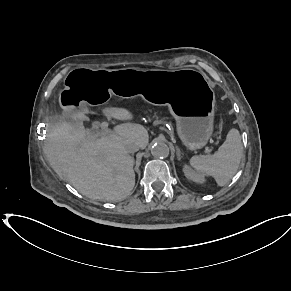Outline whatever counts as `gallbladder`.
Listing matches in <instances>:
<instances>
[{
	"label": "gallbladder",
	"instance_id": "obj_1",
	"mask_svg": "<svg viewBox=\"0 0 291 291\" xmlns=\"http://www.w3.org/2000/svg\"><path fill=\"white\" fill-rule=\"evenodd\" d=\"M67 120L70 121V122L72 121L70 118H67Z\"/></svg>",
	"mask_w": 291,
	"mask_h": 291
}]
</instances>
